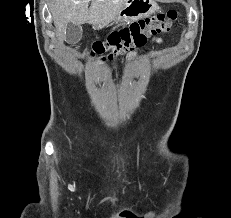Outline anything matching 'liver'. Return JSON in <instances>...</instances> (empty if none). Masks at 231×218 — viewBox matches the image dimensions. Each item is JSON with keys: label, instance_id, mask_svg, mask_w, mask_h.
<instances>
[{"label": "liver", "instance_id": "liver-1", "mask_svg": "<svg viewBox=\"0 0 231 218\" xmlns=\"http://www.w3.org/2000/svg\"><path fill=\"white\" fill-rule=\"evenodd\" d=\"M91 6L88 8L89 2ZM127 0H50L56 33L60 42L66 39L69 23L107 25L112 22Z\"/></svg>", "mask_w": 231, "mask_h": 218}]
</instances>
